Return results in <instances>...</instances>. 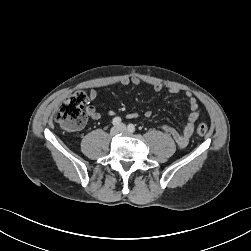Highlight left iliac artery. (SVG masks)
Returning a JSON list of instances; mask_svg holds the SVG:
<instances>
[{"mask_svg":"<svg viewBox=\"0 0 251 251\" xmlns=\"http://www.w3.org/2000/svg\"><path fill=\"white\" fill-rule=\"evenodd\" d=\"M128 130H129L130 132H134V131H135V126H134L133 124H129V125H128Z\"/></svg>","mask_w":251,"mask_h":251,"instance_id":"obj_1","label":"left iliac artery"}]
</instances>
